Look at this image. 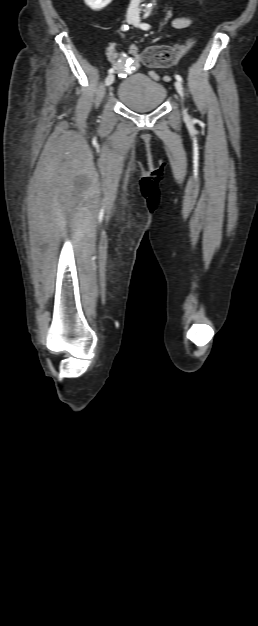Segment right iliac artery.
I'll use <instances>...</instances> for the list:
<instances>
[{"mask_svg":"<svg viewBox=\"0 0 258 626\" xmlns=\"http://www.w3.org/2000/svg\"><path fill=\"white\" fill-rule=\"evenodd\" d=\"M128 28H129V27H128V25H125V24L121 26V30H122V31H126V30H128ZM113 72H114V69H113V68H110V69L108 70V73H110V74H111V73H113Z\"/></svg>","mask_w":258,"mask_h":626,"instance_id":"obj_1","label":"right iliac artery"}]
</instances>
